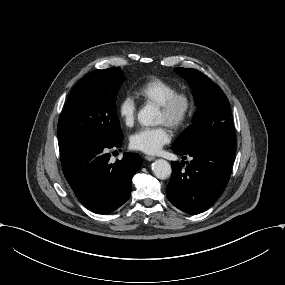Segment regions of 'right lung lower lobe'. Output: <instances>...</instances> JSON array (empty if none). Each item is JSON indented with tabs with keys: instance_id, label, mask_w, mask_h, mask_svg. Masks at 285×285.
Instances as JSON below:
<instances>
[{
	"instance_id": "98d812e1",
	"label": "right lung lower lobe",
	"mask_w": 285,
	"mask_h": 285,
	"mask_svg": "<svg viewBox=\"0 0 285 285\" xmlns=\"http://www.w3.org/2000/svg\"><path fill=\"white\" fill-rule=\"evenodd\" d=\"M121 146L122 140L83 141L59 146L66 180L79 201L95 213H110L131 195V180L142 160L137 154L124 153L122 160L110 164L108 149Z\"/></svg>"
}]
</instances>
